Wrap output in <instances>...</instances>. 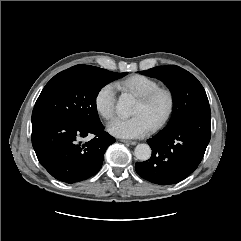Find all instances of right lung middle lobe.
<instances>
[{"label": "right lung middle lobe", "mask_w": 241, "mask_h": 241, "mask_svg": "<svg viewBox=\"0 0 241 241\" xmlns=\"http://www.w3.org/2000/svg\"><path fill=\"white\" fill-rule=\"evenodd\" d=\"M95 66L69 68L55 75L38 97L32 123L45 120H66L95 126L100 124L96 108L99 91L109 82L125 76Z\"/></svg>", "instance_id": "obj_1"}]
</instances>
